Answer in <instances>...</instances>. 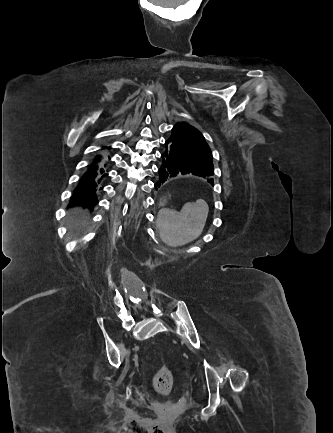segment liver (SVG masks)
Returning <instances> with one entry per match:
<instances>
[{"label":"liver","mask_w":333,"mask_h":433,"mask_svg":"<svg viewBox=\"0 0 333 433\" xmlns=\"http://www.w3.org/2000/svg\"><path fill=\"white\" fill-rule=\"evenodd\" d=\"M88 214L87 210H83L82 208H74L70 215H71V229L74 230H81L86 225V216Z\"/></svg>","instance_id":"1"}]
</instances>
